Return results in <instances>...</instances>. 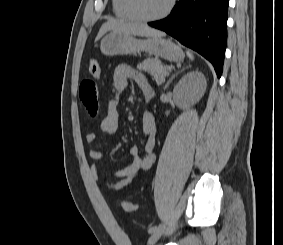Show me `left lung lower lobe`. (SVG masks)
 Instances as JSON below:
<instances>
[{
    "label": "left lung lower lobe",
    "instance_id": "0a47b994",
    "mask_svg": "<svg viewBox=\"0 0 283 245\" xmlns=\"http://www.w3.org/2000/svg\"><path fill=\"white\" fill-rule=\"evenodd\" d=\"M229 0H178L171 14L149 26L165 31L209 60L220 77L227 42Z\"/></svg>",
    "mask_w": 283,
    "mask_h": 245
}]
</instances>
